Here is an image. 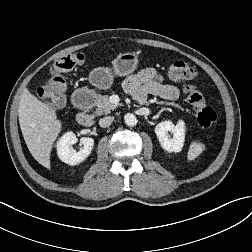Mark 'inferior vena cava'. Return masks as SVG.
<instances>
[{
    "label": "inferior vena cava",
    "mask_w": 252,
    "mask_h": 252,
    "mask_svg": "<svg viewBox=\"0 0 252 252\" xmlns=\"http://www.w3.org/2000/svg\"><path fill=\"white\" fill-rule=\"evenodd\" d=\"M113 120H114V117H112V116H106V117L101 118L99 120V125L101 127H103V128L109 127L112 124Z\"/></svg>",
    "instance_id": "1"
}]
</instances>
